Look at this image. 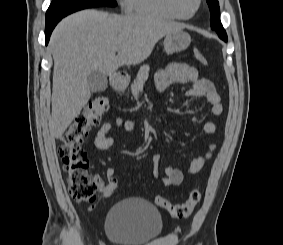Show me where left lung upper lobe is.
Returning a JSON list of instances; mask_svg holds the SVG:
<instances>
[{"mask_svg":"<svg viewBox=\"0 0 283 245\" xmlns=\"http://www.w3.org/2000/svg\"><path fill=\"white\" fill-rule=\"evenodd\" d=\"M207 3L210 8V23L213 30H215L218 33V36L224 40L227 41V35L226 32L220 22V9H219V3L217 0H207Z\"/></svg>","mask_w":283,"mask_h":245,"instance_id":"1","label":"left lung upper lobe"}]
</instances>
